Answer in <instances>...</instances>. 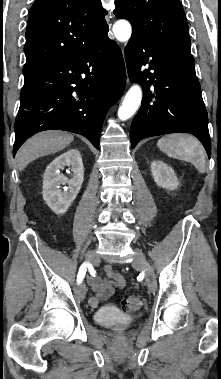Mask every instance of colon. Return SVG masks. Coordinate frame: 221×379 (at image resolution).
Here are the masks:
<instances>
[{
    "label": "colon",
    "mask_w": 221,
    "mask_h": 379,
    "mask_svg": "<svg viewBox=\"0 0 221 379\" xmlns=\"http://www.w3.org/2000/svg\"><path fill=\"white\" fill-rule=\"evenodd\" d=\"M144 299L139 295H130L122 300V307L128 310H136L142 306Z\"/></svg>",
    "instance_id": "obj_1"
}]
</instances>
